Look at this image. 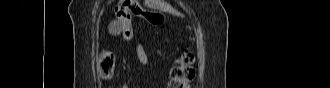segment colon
Listing matches in <instances>:
<instances>
[{"instance_id": "1", "label": "colon", "mask_w": 330, "mask_h": 88, "mask_svg": "<svg viewBox=\"0 0 330 88\" xmlns=\"http://www.w3.org/2000/svg\"><path fill=\"white\" fill-rule=\"evenodd\" d=\"M116 16L122 26V36L130 41L133 36L131 20L135 16H144L150 23L159 24L161 17L157 14L144 11L136 0L120 1L116 8ZM194 56L189 49H185L175 61L171 70L170 88H188L194 79ZM98 70L103 80H109L115 72V58L110 50H103L98 57Z\"/></svg>"}]
</instances>
